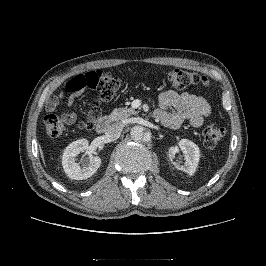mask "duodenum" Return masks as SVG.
<instances>
[{"mask_svg": "<svg viewBox=\"0 0 266 266\" xmlns=\"http://www.w3.org/2000/svg\"><path fill=\"white\" fill-rule=\"evenodd\" d=\"M154 116L156 118L159 119V117L161 116V113L159 111H154ZM160 120V119H159ZM110 126V121L109 119L107 118H100L98 119L95 124H94V128H95V131L98 133V134H104L107 132L108 128Z\"/></svg>", "mask_w": 266, "mask_h": 266, "instance_id": "410a0bca", "label": "duodenum"}]
</instances>
